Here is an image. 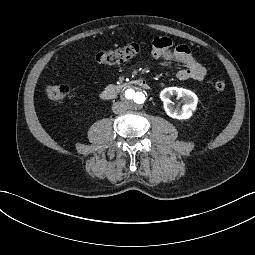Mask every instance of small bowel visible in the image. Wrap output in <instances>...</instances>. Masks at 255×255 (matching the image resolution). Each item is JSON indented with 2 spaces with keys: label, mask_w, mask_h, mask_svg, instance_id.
I'll use <instances>...</instances> for the list:
<instances>
[{
  "label": "small bowel",
  "mask_w": 255,
  "mask_h": 255,
  "mask_svg": "<svg viewBox=\"0 0 255 255\" xmlns=\"http://www.w3.org/2000/svg\"><path fill=\"white\" fill-rule=\"evenodd\" d=\"M151 57L157 61L175 62L183 65L177 72L179 80L201 81L206 76V69L186 45H174L168 38L159 37L153 41Z\"/></svg>",
  "instance_id": "1"
}]
</instances>
